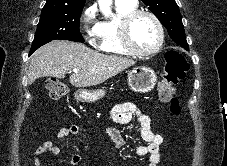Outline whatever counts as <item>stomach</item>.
I'll use <instances>...</instances> for the list:
<instances>
[{
	"label": "stomach",
	"mask_w": 227,
	"mask_h": 166,
	"mask_svg": "<svg viewBox=\"0 0 227 166\" xmlns=\"http://www.w3.org/2000/svg\"><path fill=\"white\" fill-rule=\"evenodd\" d=\"M156 81V74L149 67H137L128 74V85L135 92H150L155 87ZM104 95V89L95 91L81 89L75 92V98L81 102H95L104 97Z\"/></svg>",
	"instance_id": "obj_1"
}]
</instances>
